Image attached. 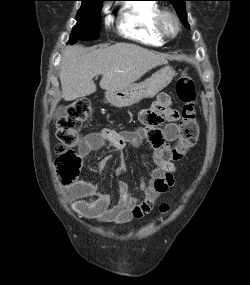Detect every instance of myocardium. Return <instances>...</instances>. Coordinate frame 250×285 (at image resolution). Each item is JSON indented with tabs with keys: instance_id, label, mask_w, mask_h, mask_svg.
<instances>
[{
	"instance_id": "f54148a6",
	"label": "myocardium",
	"mask_w": 250,
	"mask_h": 285,
	"mask_svg": "<svg viewBox=\"0 0 250 285\" xmlns=\"http://www.w3.org/2000/svg\"><path fill=\"white\" fill-rule=\"evenodd\" d=\"M167 20H170L174 25V30L172 33H169L165 28V22ZM154 27L156 33L163 40L172 39L176 37L180 31V21L178 16L174 12L169 10H160L155 17Z\"/></svg>"
}]
</instances>
